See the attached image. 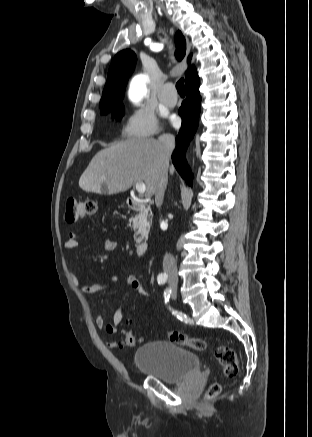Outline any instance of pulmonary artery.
I'll return each mask as SVG.
<instances>
[{
    "label": "pulmonary artery",
    "mask_w": 312,
    "mask_h": 437,
    "mask_svg": "<svg viewBox=\"0 0 312 437\" xmlns=\"http://www.w3.org/2000/svg\"><path fill=\"white\" fill-rule=\"evenodd\" d=\"M159 100L166 106L173 107L176 105L178 96L175 91H173V86L171 83L165 84L160 93Z\"/></svg>",
    "instance_id": "pulmonary-artery-1"
}]
</instances>
